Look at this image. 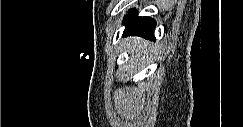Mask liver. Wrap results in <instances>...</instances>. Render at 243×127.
I'll return each instance as SVG.
<instances>
[{"mask_svg": "<svg viewBox=\"0 0 243 127\" xmlns=\"http://www.w3.org/2000/svg\"><path fill=\"white\" fill-rule=\"evenodd\" d=\"M130 49L135 53V58L142 59L147 56L150 50V42L142 40L141 38H130Z\"/></svg>", "mask_w": 243, "mask_h": 127, "instance_id": "1", "label": "liver"}]
</instances>
